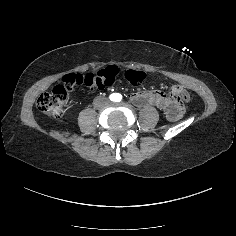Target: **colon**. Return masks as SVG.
Returning <instances> with one entry per match:
<instances>
[{
  "label": "colon",
  "mask_w": 236,
  "mask_h": 236,
  "mask_svg": "<svg viewBox=\"0 0 236 236\" xmlns=\"http://www.w3.org/2000/svg\"><path fill=\"white\" fill-rule=\"evenodd\" d=\"M118 73L116 66H108L93 73L65 75L61 84L55 86L51 92L39 96L37 107L42 113L54 119H60L64 115L70 91L83 85L90 90H102L114 83ZM124 76L129 83L135 86L140 85L145 79L144 72L138 70H127ZM176 96L182 103H188L191 100L190 90L183 87L176 88Z\"/></svg>",
  "instance_id": "1"
}]
</instances>
